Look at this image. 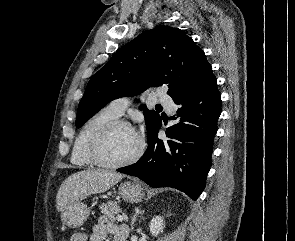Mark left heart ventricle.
<instances>
[{
    "mask_svg": "<svg viewBox=\"0 0 295 241\" xmlns=\"http://www.w3.org/2000/svg\"><path fill=\"white\" fill-rule=\"evenodd\" d=\"M138 146L139 141L136 133L131 129L120 127L107 139L103 154L107 160L119 162L133 156Z\"/></svg>",
    "mask_w": 295,
    "mask_h": 241,
    "instance_id": "left-heart-ventricle-1",
    "label": "left heart ventricle"
}]
</instances>
